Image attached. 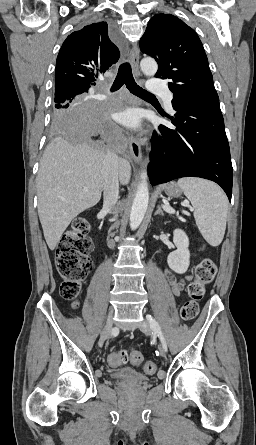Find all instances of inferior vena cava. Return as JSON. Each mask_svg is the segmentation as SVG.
<instances>
[{
  "label": "inferior vena cava",
  "instance_id": "inferior-vena-cava-1",
  "mask_svg": "<svg viewBox=\"0 0 256 445\" xmlns=\"http://www.w3.org/2000/svg\"><path fill=\"white\" fill-rule=\"evenodd\" d=\"M103 206L112 210L119 194V158L113 152H108L103 163Z\"/></svg>",
  "mask_w": 256,
  "mask_h": 445
}]
</instances>
